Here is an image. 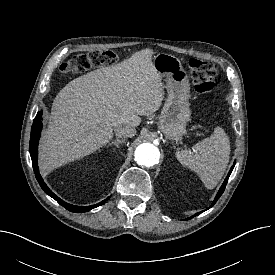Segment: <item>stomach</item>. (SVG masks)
Here are the masks:
<instances>
[{"label":"stomach","instance_id":"0dacf381","mask_svg":"<svg viewBox=\"0 0 275 275\" xmlns=\"http://www.w3.org/2000/svg\"><path fill=\"white\" fill-rule=\"evenodd\" d=\"M153 65L162 78H165L168 96L159 117L158 127L166 138L177 140L186 132L190 120V84L180 60L166 53L153 58Z\"/></svg>","mask_w":275,"mask_h":275}]
</instances>
